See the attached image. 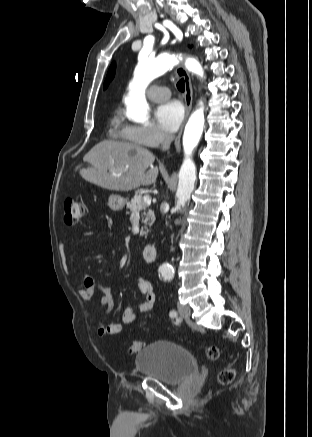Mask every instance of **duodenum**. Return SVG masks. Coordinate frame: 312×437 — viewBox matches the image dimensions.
Masks as SVG:
<instances>
[{
	"label": "duodenum",
	"mask_w": 312,
	"mask_h": 437,
	"mask_svg": "<svg viewBox=\"0 0 312 437\" xmlns=\"http://www.w3.org/2000/svg\"><path fill=\"white\" fill-rule=\"evenodd\" d=\"M155 247L153 244H147L142 249V258L145 262H152L154 259Z\"/></svg>",
	"instance_id": "obj_1"
}]
</instances>
